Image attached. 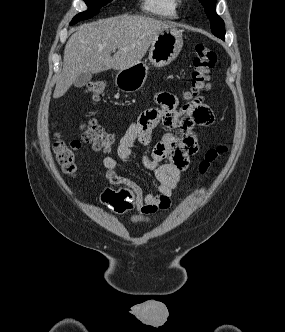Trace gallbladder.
Segmentation results:
<instances>
[{"instance_id": "bac80fb5", "label": "gallbladder", "mask_w": 285, "mask_h": 332, "mask_svg": "<svg viewBox=\"0 0 285 332\" xmlns=\"http://www.w3.org/2000/svg\"><path fill=\"white\" fill-rule=\"evenodd\" d=\"M92 79V74L91 73H83L79 75L76 80L74 81V85L77 88H81L85 86L90 80Z\"/></svg>"}]
</instances>
